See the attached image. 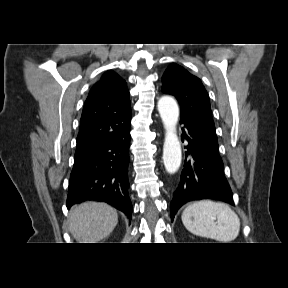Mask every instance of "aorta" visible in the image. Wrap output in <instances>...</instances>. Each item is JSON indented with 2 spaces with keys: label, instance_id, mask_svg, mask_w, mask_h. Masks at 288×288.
<instances>
[{
  "label": "aorta",
  "instance_id": "1",
  "mask_svg": "<svg viewBox=\"0 0 288 288\" xmlns=\"http://www.w3.org/2000/svg\"><path fill=\"white\" fill-rule=\"evenodd\" d=\"M158 111L165 128V141L163 146V162L168 173L174 174L181 165L182 152L176 125L179 117L177 102L169 96L159 99Z\"/></svg>",
  "mask_w": 288,
  "mask_h": 288
}]
</instances>
